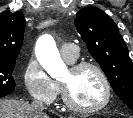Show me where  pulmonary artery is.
I'll return each instance as SVG.
<instances>
[{
    "label": "pulmonary artery",
    "mask_w": 133,
    "mask_h": 118,
    "mask_svg": "<svg viewBox=\"0 0 133 118\" xmlns=\"http://www.w3.org/2000/svg\"><path fill=\"white\" fill-rule=\"evenodd\" d=\"M64 59L75 60L78 57V47L75 44H63L60 48Z\"/></svg>",
    "instance_id": "obj_1"
}]
</instances>
